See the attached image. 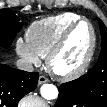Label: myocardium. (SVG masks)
Here are the masks:
<instances>
[{
	"instance_id": "myocardium-1",
	"label": "myocardium",
	"mask_w": 107,
	"mask_h": 107,
	"mask_svg": "<svg viewBox=\"0 0 107 107\" xmlns=\"http://www.w3.org/2000/svg\"><path fill=\"white\" fill-rule=\"evenodd\" d=\"M82 23L87 24L91 32V41H90L89 48L86 52V55L84 56L81 63L73 70L68 72H58L54 67V61L58 57V55L64 50L73 31ZM95 47H96V32H95L94 26L89 20L85 18H79L78 20L71 23L65 29V31L62 33L57 43L53 46V48L50 50V52L46 56L47 69L52 75H54L56 78L62 81L73 80L79 77L80 75H82L85 72V70L88 68L95 51Z\"/></svg>"
}]
</instances>
